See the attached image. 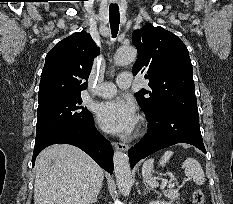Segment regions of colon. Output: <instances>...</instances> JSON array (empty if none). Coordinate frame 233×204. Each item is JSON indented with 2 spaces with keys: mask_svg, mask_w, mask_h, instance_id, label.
<instances>
[{
  "mask_svg": "<svg viewBox=\"0 0 233 204\" xmlns=\"http://www.w3.org/2000/svg\"><path fill=\"white\" fill-rule=\"evenodd\" d=\"M205 195L201 189H196L192 195V204H204Z\"/></svg>",
  "mask_w": 233,
  "mask_h": 204,
  "instance_id": "1",
  "label": "colon"
}]
</instances>
